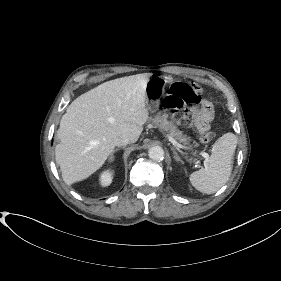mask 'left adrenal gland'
<instances>
[{
  "mask_svg": "<svg viewBox=\"0 0 281 281\" xmlns=\"http://www.w3.org/2000/svg\"><path fill=\"white\" fill-rule=\"evenodd\" d=\"M172 151H173V154H174V159L177 161V162H181L183 163V161L181 160V158L179 157V155L177 154V152L172 148Z\"/></svg>",
  "mask_w": 281,
  "mask_h": 281,
  "instance_id": "left-adrenal-gland-1",
  "label": "left adrenal gland"
}]
</instances>
